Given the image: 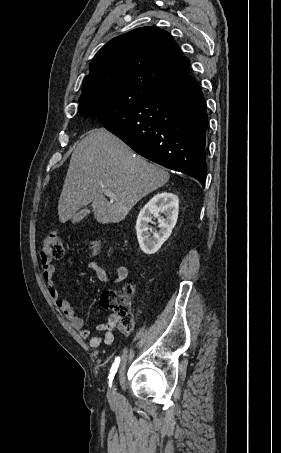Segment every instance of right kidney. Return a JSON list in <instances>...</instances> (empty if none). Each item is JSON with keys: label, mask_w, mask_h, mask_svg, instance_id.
I'll use <instances>...</instances> for the list:
<instances>
[{"label": "right kidney", "mask_w": 281, "mask_h": 453, "mask_svg": "<svg viewBox=\"0 0 281 453\" xmlns=\"http://www.w3.org/2000/svg\"><path fill=\"white\" fill-rule=\"evenodd\" d=\"M178 202L179 198L177 194H172V192H158L140 210L135 229L140 249L146 255L157 253L161 245L170 237L178 218ZM159 212H163L166 218H160ZM152 214L153 216H157L159 222V231H155V233L153 229H150L148 224V222H151Z\"/></svg>", "instance_id": "obj_1"}]
</instances>
